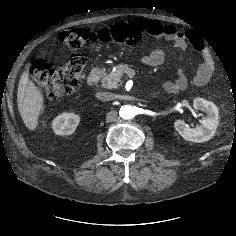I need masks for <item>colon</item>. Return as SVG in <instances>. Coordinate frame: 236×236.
I'll return each instance as SVG.
<instances>
[{
    "instance_id": "colon-1",
    "label": "colon",
    "mask_w": 236,
    "mask_h": 236,
    "mask_svg": "<svg viewBox=\"0 0 236 236\" xmlns=\"http://www.w3.org/2000/svg\"><path fill=\"white\" fill-rule=\"evenodd\" d=\"M146 22L133 19L117 22L110 27L97 31L85 28H75L59 34V40L73 50L81 49L84 45L94 42L118 43L123 45L137 44ZM86 66V58L82 54H75L61 67H51L41 59H31L28 72L31 79L49 98H57L73 93L81 84Z\"/></svg>"
}]
</instances>
